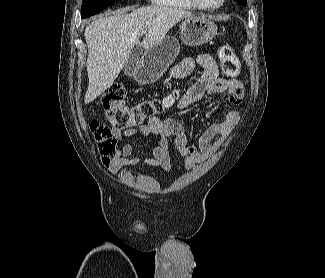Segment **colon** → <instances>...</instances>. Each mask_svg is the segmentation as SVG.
Wrapping results in <instances>:
<instances>
[{"mask_svg": "<svg viewBox=\"0 0 325 278\" xmlns=\"http://www.w3.org/2000/svg\"><path fill=\"white\" fill-rule=\"evenodd\" d=\"M218 58L222 70L228 78H236L241 71V63L233 49L228 45H222L218 50ZM179 98L177 91H171L161 98L143 101L134 106L126 103V90L124 87L115 85L105 92L100 99L103 109L106 111L108 120L113 128H129L142 125L149 120L163 113L172 106ZM90 129L98 143L103 161L107 163L109 157L116 152V139L112 129L97 120L90 122Z\"/></svg>", "mask_w": 325, "mask_h": 278, "instance_id": "1", "label": "colon"}]
</instances>
